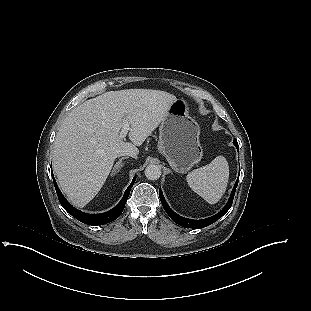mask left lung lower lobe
<instances>
[{
    "mask_svg": "<svg viewBox=\"0 0 311 311\" xmlns=\"http://www.w3.org/2000/svg\"><path fill=\"white\" fill-rule=\"evenodd\" d=\"M234 145L236 146L237 149H239L238 143L236 140H234ZM238 184V180L236 181L234 188L232 190L231 196L226 204V206L216 215L206 218V219H202V220H192V219H187L184 218L178 214H176L174 211H172L170 209V207L168 206V204L166 203L164 196L162 194L161 189H159V197L161 200V203L163 205L164 210L167 212V214L170 216V218L177 223L178 225L185 227V228H204L206 226L211 225L212 223L216 222L219 218H221L231 207L232 202H233V198H234V194L236 191V187Z\"/></svg>",
    "mask_w": 311,
    "mask_h": 311,
    "instance_id": "left-lung-lower-lobe-1",
    "label": "left lung lower lobe"
}]
</instances>
